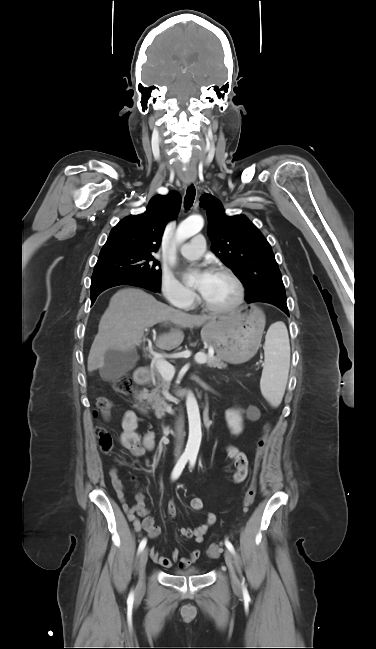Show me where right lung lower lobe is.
I'll list each match as a JSON object with an SVG mask.
<instances>
[{
  "instance_id": "obj_1",
  "label": "right lung lower lobe",
  "mask_w": 376,
  "mask_h": 649,
  "mask_svg": "<svg viewBox=\"0 0 376 649\" xmlns=\"http://www.w3.org/2000/svg\"><path fill=\"white\" fill-rule=\"evenodd\" d=\"M118 285H132V286L142 287L153 292H158L160 290L159 287L145 280H139L135 278H117V277L105 278L100 281L91 282V304L95 302L97 296L101 292H103L108 288L118 286Z\"/></svg>"
}]
</instances>
